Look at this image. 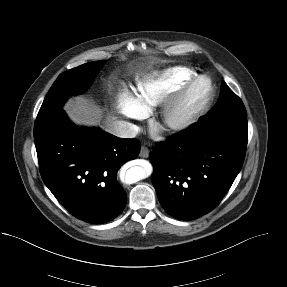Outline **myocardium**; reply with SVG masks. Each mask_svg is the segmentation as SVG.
Masks as SVG:
<instances>
[{
	"mask_svg": "<svg viewBox=\"0 0 287 287\" xmlns=\"http://www.w3.org/2000/svg\"><path fill=\"white\" fill-rule=\"evenodd\" d=\"M200 83L206 86L204 94L195 103L187 105L190 93ZM214 96L215 87L208 76H192L162 103L159 113L161 126L170 132L186 130L209 109Z\"/></svg>",
	"mask_w": 287,
	"mask_h": 287,
	"instance_id": "1",
	"label": "myocardium"
}]
</instances>
